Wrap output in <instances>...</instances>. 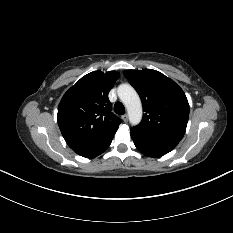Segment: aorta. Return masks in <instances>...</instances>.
I'll use <instances>...</instances> for the list:
<instances>
[{"mask_svg":"<svg viewBox=\"0 0 233 233\" xmlns=\"http://www.w3.org/2000/svg\"><path fill=\"white\" fill-rule=\"evenodd\" d=\"M117 92L128 111L130 123L139 124L142 119V103L136 90L129 84H121Z\"/></svg>","mask_w":233,"mask_h":233,"instance_id":"762f6f07","label":"aorta"}]
</instances>
